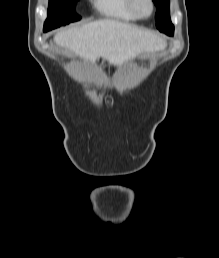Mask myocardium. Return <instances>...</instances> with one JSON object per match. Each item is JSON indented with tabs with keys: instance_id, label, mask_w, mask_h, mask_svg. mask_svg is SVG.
Instances as JSON below:
<instances>
[{
	"instance_id": "f54148a6",
	"label": "myocardium",
	"mask_w": 219,
	"mask_h": 258,
	"mask_svg": "<svg viewBox=\"0 0 219 258\" xmlns=\"http://www.w3.org/2000/svg\"><path fill=\"white\" fill-rule=\"evenodd\" d=\"M149 7H150V11L148 14H143L140 12L139 8H138V0H129V4L130 7L132 9V11L139 17V18H149L153 15L154 11H155V3L153 0H147Z\"/></svg>"
}]
</instances>
